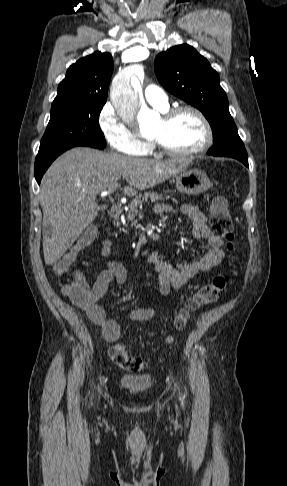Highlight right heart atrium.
I'll list each match as a JSON object with an SVG mask.
<instances>
[{"label": "right heart atrium", "instance_id": "right-heart-atrium-1", "mask_svg": "<svg viewBox=\"0 0 287 486\" xmlns=\"http://www.w3.org/2000/svg\"><path fill=\"white\" fill-rule=\"evenodd\" d=\"M100 131L115 151L130 155L143 153L148 144L119 116L111 103H106L98 115Z\"/></svg>", "mask_w": 287, "mask_h": 486}]
</instances>
